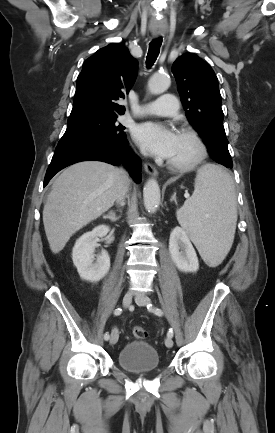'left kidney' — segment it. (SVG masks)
<instances>
[{
	"mask_svg": "<svg viewBox=\"0 0 275 433\" xmlns=\"http://www.w3.org/2000/svg\"><path fill=\"white\" fill-rule=\"evenodd\" d=\"M169 251L177 268L183 272H196L199 268L198 258L186 231L175 227L170 234Z\"/></svg>",
	"mask_w": 275,
	"mask_h": 433,
	"instance_id": "left-kidney-1",
	"label": "left kidney"
}]
</instances>
